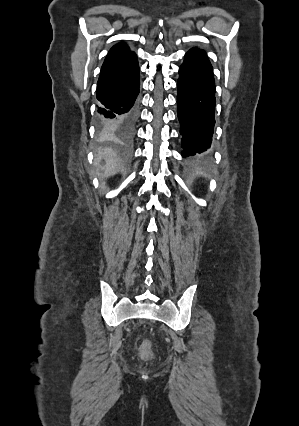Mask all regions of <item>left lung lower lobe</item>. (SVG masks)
<instances>
[{
  "label": "left lung lower lobe",
  "instance_id": "obj_1",
  "mask_svg": "<svg viewBox=\"0 0 299 426\" xmlns=\"http://www.w3.org/2000/svg\"><path fill=\"white\" fill-rule=\"evenodd\" d=\"M179 75L177 104L182 156L203 155L210 148L216 103L213 68L206 52L188 51Z\"/></svg>",
  "mask_w": 299,
  "mask_h": 426
}]
</instances>
